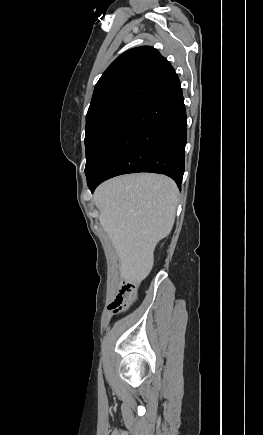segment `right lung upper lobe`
<instances>
[{"label":"right lung upper lobe","instance_id":"cb5924a9","mask_svg":"<svg viewBox=\"0 0 263 435\" xmlns=\"http://www.w3.org/2000/svg\"><path fill=\"white\" fill-rule=\"evenodd\" d=\"M177 77L171 64L153 47L130 49L97 82L87 116L98 106L119 101L144 104Z\"/></svg>","mask_w":263,"mask_h":435}]
</instances>
